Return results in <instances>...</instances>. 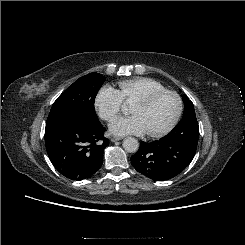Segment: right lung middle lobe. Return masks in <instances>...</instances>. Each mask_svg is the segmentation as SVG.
<instances>
[{
	"mask_svg": "<svg viewBox=\"0 0 245 245\" xmlns=\"http://www.w3.org/2000/svg\"><path fill=\"white\" fill-rule=\"evenodd\" d=\"M105 78L90 73L76 80L53 103L47 123L59 119H73L91 125L100 124L94 101Z\"/></svg>",
	"mask_w": 245,
	"mask_h": 245,
	"instance_id": "obj_1",
	"label": "right lung middle lobe"
}]
</instances>
